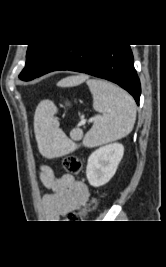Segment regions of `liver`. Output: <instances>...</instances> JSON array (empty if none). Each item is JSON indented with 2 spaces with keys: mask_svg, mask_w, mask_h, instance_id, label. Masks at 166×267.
<instances>
[{
  "mask_svg": "<svg viewBox=\"0 0 166 267\" xmlns=\"http://www.w3.org/2000/svg\"><path fill=\"white\" fill-rule=\"evenodd\" d=\"M86 79L87 76L85 75L72 76L61 80L57 85L61 87H72L83 83Z\"/></svg>",
  "mask_w": 166,
  "mask_h": 267,
  "instance_id": "liver-1",
  "label": "liver"
}]
</instances>
